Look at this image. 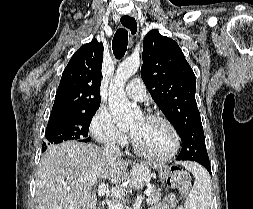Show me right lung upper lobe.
Wrapping results in <instances>:
<instances>
[{
    "label": "right lung upper lobe",
    "instance_id": "right-lung-upper-lobe-1",
    "mask_svg": "<svg viewBox=\"0 0 253 209\" xmlns=\"http://www.w3.org/2000/svg\"><path fill=\"white\" fill-rule=\"evenodd\" d=\"M103 44L82 45L64 69L50 117L84 112L100 106Z\"/></svg>",
    "mask_w": 253,
    "mask_h": 209
}]
</instances>
